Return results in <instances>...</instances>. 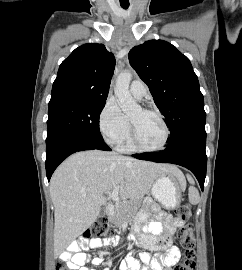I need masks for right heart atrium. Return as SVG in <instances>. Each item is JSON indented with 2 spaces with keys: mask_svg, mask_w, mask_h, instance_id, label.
<instances>
[{
  "mask_svg": "<svg viewBox=\"0 0 242 270\" xmlns=\"http://www.w3.org/2000/svg\"><path fill=\"white\" fill-rule=\"evenodd\" d=\"M98 126L104 140L111 145H119L127 135L130 124L113 97L106 100L98 117Z\"/></svg>",
  "mask_w": 242,
  "mask_h": 270,
  "instance_id": "d8ad5b80",
  "label": "right heart atrium"
}]
</instances>
